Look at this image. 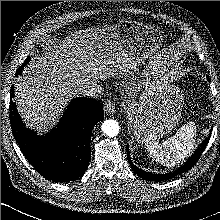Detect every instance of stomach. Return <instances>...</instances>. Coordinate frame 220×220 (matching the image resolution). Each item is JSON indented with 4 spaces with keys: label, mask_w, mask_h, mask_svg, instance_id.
Masks as SVG:
<instances>
[{
    "label": "stomach",
    "mask_w": 220,
    "mask_h": 220,
    "mask_svg": "<svg viewBox=\"0 0 220 220\" xmlns=\"http://www.w3.org/2000/svg\"><path fill=\"white\" fill-rule=\"evenodd\" d=\"M130 66L137 69L147 63L155 74L130 117L131 133L137 141L156 140L172 129L181 117L183 94L170 81L166 66L159 61L161 32L132 20H122L116 27Z\"/></svg>",
    "instance_id": "obj_1"
}]
</instances>
